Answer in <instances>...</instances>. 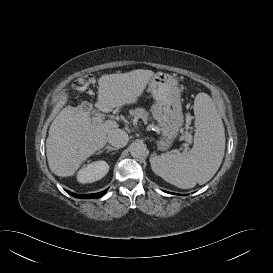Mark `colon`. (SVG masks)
<instances>
[{
    "mask_svg": "<svg viewBox=\"0 0 273 273\" xmlns=\"http://www.w3.org/2000/svg\"><path fill=\"white\" fill-rule=\"evenodd\" d=\"M92 81H93V75L87 74L75 80V82L73 83V88L78 92H83L89 88Z\"/></svg>",
    "mask_w": 273,
    "mask_h": 273,
    "instance_id": "5ec220e1",
    "label": "colon"
}]
</instances>
